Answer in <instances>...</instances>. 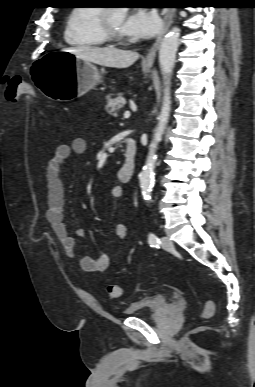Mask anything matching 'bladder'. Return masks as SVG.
Here are the masks:
<instances>
[{
    "label": "bladder",
    "mask_w": 255,
    "mask_h": 387,
    "mask_svg": "<svg viewBox=\"0 0 255 387\" xmlns=\"http://www.w3.org/2000/svg\"><path fill=\"white\" fill-rule=\"evenodd\" d=\"M171 302L164 294H153L131 303L123 311V314L129 317H141L144 315H153L169 308Z\"/></svg>",
    "instance_id": "31cf9c89"
}]
</instances>
